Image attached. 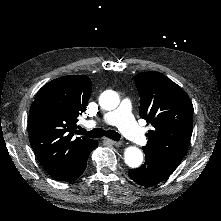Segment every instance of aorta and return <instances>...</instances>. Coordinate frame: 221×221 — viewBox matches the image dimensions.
<instances>
[{
  "label": "aorta",
  "instance_id": "obj_1",
  "mask_svg": "<svg viewBox=\"0 0 221 221\" xmlns=\"http://www.w3.org/2000/svg\"><path fill=\"white\" fill-rule=\"evenodd\" d=\"M119 103V96L114 91L105 92L99 98V104L105 110H113L118 107ZM124 160L129 167L137 168L143 162V153L139 148L130 146L125 149Z\"/></svg>",
  "mask_w": 221,
  "mask_h": 221
}]
</instances>
